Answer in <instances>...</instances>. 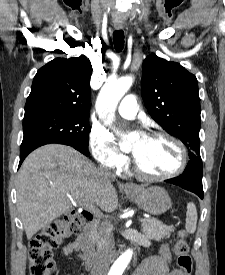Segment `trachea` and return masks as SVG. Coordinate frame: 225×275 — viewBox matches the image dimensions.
Here are the masks:
<instances>
[{
  "label": "trachea",
  "mask_w": 225,
  "mask_h": 275,
  "mask_svg": "<svg viewBox=\"0 0 225 275\" xmlns=\"http://www.w3.org/2000/svg\"><path fill=\"white\" fill-rule=\"evenodd\" d=\"M113 41L116 51L121 52L124 47V32L122 30L114 31Z\"/></svg>",
  "instance_id": "3493384b"
}]
</instances>
